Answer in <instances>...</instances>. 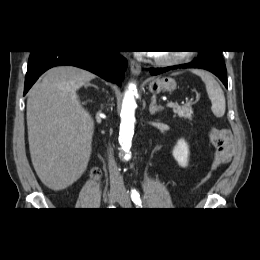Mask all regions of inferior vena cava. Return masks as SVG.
I'll return each mask as SVG.
<instances>
[{"label": "inferior vena cava", "mask_w": 260, "mask_h": 260, "mask_svg": "<svg viewBox=\"0 0 260 260\" xmlns=\"http://www.w3.org/2000/svg\"><path fill=\"white\" fill-rule=\"evenodd\" d=\"M109 172H110L111 187L124 189L123 180L117 169L116 162L112 156L111 150H109Z\"/></svg>", "instance_id": "obj_1"}]
</instances>
